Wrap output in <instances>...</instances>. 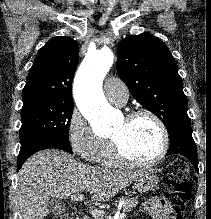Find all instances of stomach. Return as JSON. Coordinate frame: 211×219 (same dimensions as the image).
Instances as JSON below:
<instances>
[{
    "label": "stomach",
    "mask_w": 211,
    "mask_h": 219,
    "mask_svg": "<svg viewBox=\"0 0 211 219\" xmlns=\"http://www.w3.org/2000/svg\"><path fill=\"white\" fill-rule=\"evenodd\" d=\"M159 178L153 170L143 169L139 178L135 181V188L139 192H147L153 190L158 185Z\"/></svg>",
    "instance_id": "1"
}]
</instances>
